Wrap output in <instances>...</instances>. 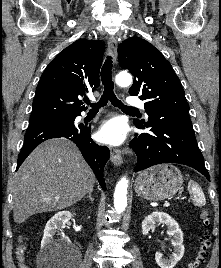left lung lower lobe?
I'll return each mask as SVG.
<instances>
[{
	"mask_svg": "<svg viewBox=\"0 0 221 268\" xmlns=\"http://www.w3.org/2000/svg\"><path fill=\"white\" fill-rule=\"evenodd\" d=\"M147 115V121H134L137 128L150 131L135 134L130 142L137 155L134 171L161 163H179L198 170L210 181L188 113L151 110Z\"/></svg>",
	"mask_w": 221,
	"mask_h": 268,
	"instance_id": "obj_1",
	"label": "left lung lower lobe"
}]
</instances>
